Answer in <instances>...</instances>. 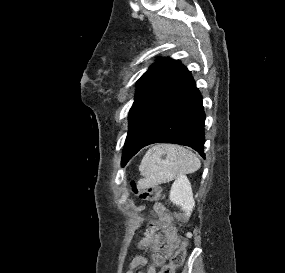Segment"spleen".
Instances as JSON below:
<instances>
[{
	"mask_svg": "<svg viewBox=\"0 0 285 273\" xmlns=\"http://www.w3.org/2000/svg\"><path fill=\"white\" fill-rule=\"evenodd\" d=\"M201 166L199 158L178 145L159 144L150 148L142 159L139 170L144 187L156 186L193 173Z\"/></svg>",
	"mask_w": 285,
	"mask_h": 273,
	"instance_id": "1",
	"label": "spleen"
}]
</instances>
